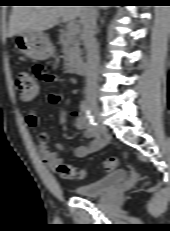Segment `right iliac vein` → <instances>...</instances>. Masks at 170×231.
<instances>
[{
  "label": "right iliac vein",
  "mask_w": 170,
  "mask_h": 231,
  "mask_svg": "<svg viewBox=\"0 0 170 231\" xmlns=\"http://www.w3.org/2000/svg\"><path fill=\"white\" fill-rule=\"evenodd\" d=\"M87 102L89 105V109L96 121V123L98 124V129L101 132V134H106L107 133V128L106 126H104L101 122V119L99 117V107L96 103V97L94 94H90L87 96Z\"/></svg>",
  "instance_id": "right-iliac-vein-1"
}]
</instances>
